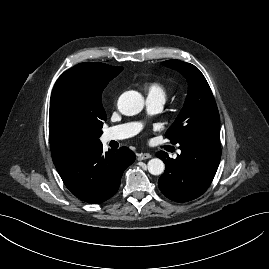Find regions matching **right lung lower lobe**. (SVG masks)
Wrapping results in <instances>:
<instances>
[{
    "instance_id": "98d812e1",
    "label": "right lung lower lobe",
    "mask_w": 269,
    "mask_h": 269,
    "mask_svg": "<svg viewBox=\"0 0 269 269\" xmlns=\"http://www.w3.org/2000/svg\"><path fill=\"white\" fill-rule=\"evenodd\" d=\"M135 160L127 147L103 152L102 144L59 163L55 167L66 187L79 199L98 204L119 189L124 170Z\"/></svg>"
}]
</instances>
